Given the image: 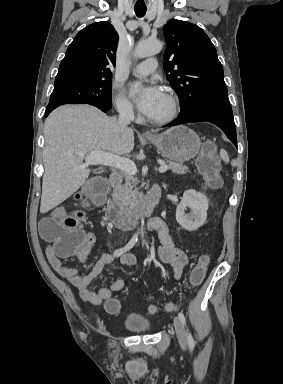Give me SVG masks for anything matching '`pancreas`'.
Returning a JSON list of instances; mask_svg holds the SVG:
<instances>
[{
	"label": "pancreas",
	"mask_w": 283,
	"mask_h": 384,
	"mask_svg": "<svg viewBox=\"0 0 283 384\" xmlns=\"http://www.w3.org/2000/svg\"><path fill=\"white\" fill-rule=\"evenodd\" d=\"M166 164L168 170H172L174 174H186L189 170L187 166L176 164V162H168L167 160ZM112 174H116L121 182L122 180H125L124 184H121V186H112L113 194H111V196L113 202L116 206H119L123 214H129V212H132L133 208H135V204L141 196L138 188H136L138 184L137 178L128 176L125 172H116V170H113Z\"/></svg>",
	"instance_id": "1"
}]
</instances>
